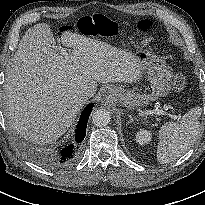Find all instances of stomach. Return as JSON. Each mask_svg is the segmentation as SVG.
Here are the masks:
<instances>
[{
	"label": "stomach",
	"instance_id": "0dacf381",
	"mask_svg": "<svg viewBox=\"0 0 205 205\" xmlns=\"http://www.w3.org/2000/svg\"><path fill=\"white\" fill-rule=\"evenodd\" d=\"M86 30L89 29L86 28ZM83 34L94 37L99 35V32L96 35L84 32ZM132 55L141 73H147L151 83L152 93L149 95L133 93L124 88H112L109 91V97L113 101L122 103L130 110L135 107L147 106L151 101L167 95L171 89L172 78V71L165 61L151 54L149 51L139 50Z\"/></svg>",
	"mask_w": 205,
	"mask_h": 205
}]
</instances>
